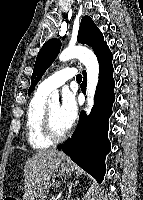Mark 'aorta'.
<instances>
[{
    "mask_svg": "<svg viewBox=\"0 0 143 200\" xmlns=\"http://www.w3.org/2000/svg\"><path fill=\"white\" fill-rule=\"evenodd\" d=\"M60 61H67L73 58L85 66L87 71V114L90 113L94 104V95L99 81V64L94 52L85 46H69L64 49L58 56ZM51 105L59 104V96L57 93L51 95Z\"/></svg>",
    "mask_w": 143,
    "mask_h": 200,
    "instance_id": "762f6f07",
    "label": "aorta"
}]
</instances>
